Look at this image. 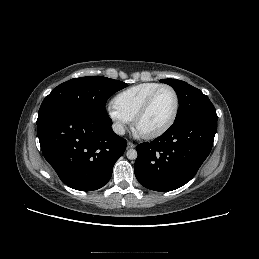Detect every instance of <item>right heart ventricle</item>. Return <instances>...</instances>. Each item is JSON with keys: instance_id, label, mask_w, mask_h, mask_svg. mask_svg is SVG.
Instances as JSON below:
<instances>
[{"instance_id": "1", "label": "right heart ventricle", "mask_w": 259, "mask_h": 259, "mask_svg": "<svg viewBox=\"0 0 259 259\" xmlns=\"http://www.w3.org/2000/svg\"><path fill=\"white\" fill-rule=\"evenodd\" d=\"M159 85L158 82H144L128 87L114 97L113 105L129 121H133L146 98Z\"/></svg>"}]
</instances>
